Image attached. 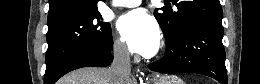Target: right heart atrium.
<instances>
[{
  "mask_svg": "<svg viewBox=\"0 0 260 84\" xmlns=\"http://www.w3.org/2000/svg\"><path fill=\"white\" fill-rule=\"evenodd\" d=\"M112 50L115 57L120 60H127L130 56V52L126 44L120 37H114L112 42Z\"/></svg>",
  "mask_w": 260,
  "mask_h": 84,
  "instance_id": "obj_1",
  "label": "right heart atrium"
}]
</instances>
